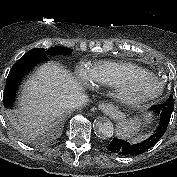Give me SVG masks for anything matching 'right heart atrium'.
<instances>
[{"instance_id": "d8ad5b80", "label": "right heart atrium", "mask_w": 177, "mask_h": 177, "mask_svg": "<svg viewBox=\"0 0 177 177\" xmlns=\"http://www.w3.org/2000/svg\"><path fill=\"white\" fill-rule=\"evenodd\" d=\"M76 73L78 77L81 78L83 81L92 82V71L87 65H78Z\"/></svg>"}]
</instances>
